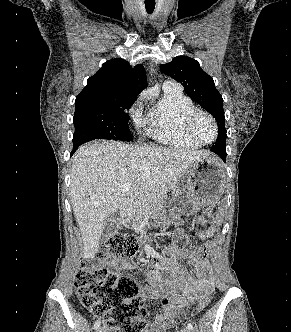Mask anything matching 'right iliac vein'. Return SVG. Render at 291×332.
<instances>
[{"label":"right iliac vein","mask_w":291,"mask_h":332,"mask_svg":"<svg viewBox=\"0 0 291 332\" xmlns=\"http://www.w3.org/2000/svg\"><path fill=\"white\" fill-rule=\"evenodd\" d=\"M97 332H104V329H103V328H99V329L97 330Z\"/></svg>","instance_id":"right-iliac-vein-1"}]
</instances>
